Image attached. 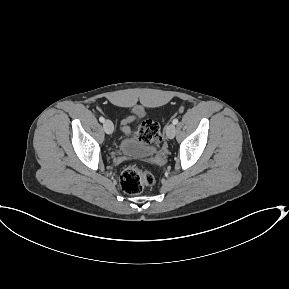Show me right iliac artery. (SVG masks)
<instances>
[{"label": "right iliac artery", "mask_w": 289, "mask_h": 289, "mask_svg": "<svg viewBox=\"0 0 289 289\" xmlns=\"http://www.w3.org/2000/svg\"><path fill=\"white\" fill-rule=\"evenodd\" d=\"M99 121L102 122V123H104V121H105L104 117H100V118H99Z\"/></svg>", "instance_id": "1"}]
</instances>
